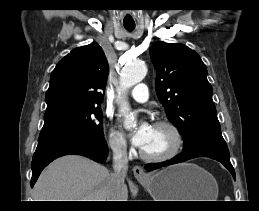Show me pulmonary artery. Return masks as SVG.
Returning a JSON list of instances; mask_svg holds the SVG:
<instances>
[{
  "label": "pulmonary artery",
  "mask_w": 259,
  "mask_h": 211,
  "mask_svg": "<svg viewBox=\"0 0 259 211\" xmlns=\"http://www.w3.org/2000/svg\"><path fill=\"white\" fill-rule=\"evenodd\" d=\"M132 99L139 103H144L148 100V88L145 84L136 85L130 92Z\"/></svg>",
  "instance_id": "pulmonary-artery-1"
}]
</instances>
